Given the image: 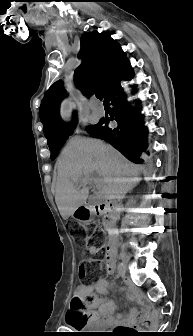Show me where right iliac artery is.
<instances>
[{"label":"right iliac artery","instance_id":"right-iliac-artery-1","mask_svg":"<svg viewBox=\"0 0 193 336\" xmlns=\"http://www.w3.org/2000/svg\"><path fill=\"white\" fill-rule=\"evenodd\" d=\"M121 268H122V263H120V264L118 265V274H121V273H120Z\"/></svg>","mask_w":193,"mask_h":336}]
</instances>
